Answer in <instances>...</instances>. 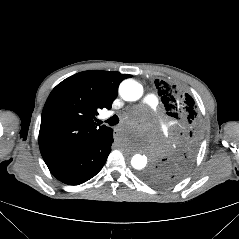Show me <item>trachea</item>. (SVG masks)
<instances>
[{
    "label": "trachea",
    "instance_id": "trachea-1",
    "mask_svg": "<svg viewBox=\"0 0 239 239\" xmlns=\"http://www.w3.org/2000/svg\"><path fill=\"white\" fill-rule=\"evenodd\" d=\"M105 122L108 123L110 126H114L119 123V118L118 116L114 115Z\"/></svg>",
    "mask_w": 239,
    "mask_h": 239
}]
</instances>
